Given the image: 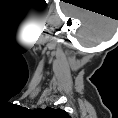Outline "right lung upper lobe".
Segmentation results:
<instances>
[{"mask_svg":"<svg viewBox=\"0 0 118 118\" xmlns=\"http://www.w3.org/2000/svg\"><path fill=\"white\" fill-rule=\"evenodd\" d=\"M48 112L50 113H63V110L60 109H52V108H48Z\"/></svg>","mask_w":118,"mask_h":118,"instance_id":"1","label":"right lung upper lobe"}]
</instances>
